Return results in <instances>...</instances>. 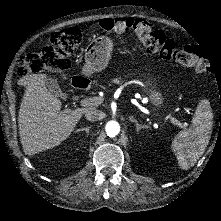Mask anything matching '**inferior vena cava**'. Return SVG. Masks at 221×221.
I'll return each instance as SVG.
<instances>
[{
	"mask_svg": "<svg viewBox=\"0 0 221 221\" xmlns=\"http://www.w3.org/2000/svg\"><path fill=\"white\" fill-rule=\"evenodd\" d=\"M105 117L106 114L96 108H90L88 111L85 112V118L91 122L103 120Z\"/></svg>",
	"mask_w": 221,
	"mask_h": 221,
	"instance_id": "602c4592",
	"label": "inferior vena cava"
}]
</instances>
